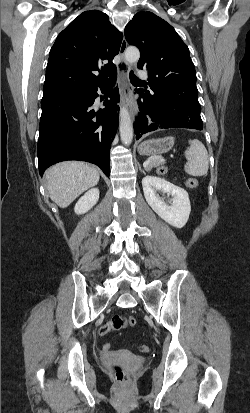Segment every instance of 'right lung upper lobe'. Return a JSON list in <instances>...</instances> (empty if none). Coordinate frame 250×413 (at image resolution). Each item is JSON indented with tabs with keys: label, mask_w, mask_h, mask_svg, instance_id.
I'll return each mask as SVG.
<instances>
[{
	"label": "right lung upper lobe",
	"mask_w": 250,
	"mask_h": 413,
	"mask_svg": "<svg viewBox=\"0 0 250 413\" xmlns=\"http://www.w3.org/2000/svg\"><path fill=\"white\" fill-rule=\"evenodd\" d=\"M122 38L107 14L83 12L58 35L50 50L43 96L85 90L107 81L116 69L112 60Z\"/></svg>",
	"instance_id": "1"
}]
</instances>
